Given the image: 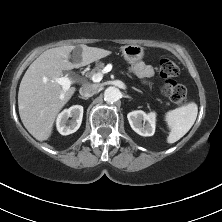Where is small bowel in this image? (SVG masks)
I'll return each mask as SVG.
<instances>
[{
	"label": "small bowel",
	"instance_id": "1",
	"mask_svg": "<svg viewBox=\"0 0 222 222\" xmlns=\"http://www.w3.org/2000/svg\"><path fill=\"white\" fill-rule=\"evenodd\" d=\"M132 73L142 79H149L154 75V69L151 65L144 62H137L131 67Z\"/></svg>",
	"mask_w": 222,
	"mask_h": 222
}]
</instances>
